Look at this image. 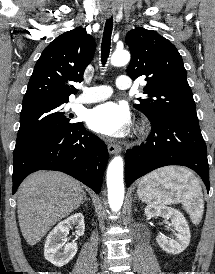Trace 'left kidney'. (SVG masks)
<instances>
[{"mask_svg":"<svg viewBox=\"0 0 215 274\" xmlns=\"http://www.w3.org/2000/svg\"><path fill=\"white\" fill-rule=\"evenodd\" d=\"M145 215L147 219L157 216L170 219L172 225L176 228L175 238L163 234L156 237V242L165 252L176 255L188 247L191 238L190 230L185 217L180 211L165 205H148L145 208Z\"/></svg>","mask_w":215,"mask_h":274,"instance_id":"5707ae66","label":"left kidney"}]
</instances>
